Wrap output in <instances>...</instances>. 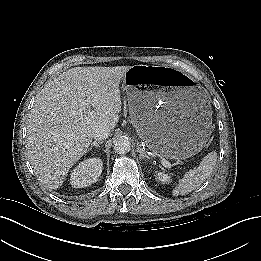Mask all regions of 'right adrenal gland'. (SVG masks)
Returning <instances> with one entry per match:
<instances>
[{
    "label": "right adrenal gland",
    "mask_w": 261,
    "mask_h": 261,
    "mask_svg": "<svg viewBox=\"0 0 261 261\" xmlns=\"http://www.w3.org/2000/svg\"><path fill=\"white\" fill-rule=\"evenodd\" d=\"M103 143V141H94L91 143L88 151H91L92 150V147H95V148H99L100 145Z\"/></svg>",
    "instance_id": "2a0ac1e0"
}]
</instances>
